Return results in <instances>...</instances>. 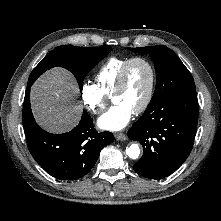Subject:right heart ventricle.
I'll return each mask as SVG.
<instances>
[{
	"label": "right heart ventricle",
	"instance_id": "e07e8e85",
	"mask_svg": "<svg viewBox=\"0 0 221 221\" xmlns=\"http://www.w3.org/2000/svg\"><path fill=\"white\" fill-rule=\"evenodd\" d=\"M129 59V57H112L96 73V85L106 97L112 96L120 71Z\"/></svg>",
	"mask_w": 221,
	"mask_h": 221
}]
</instances>
